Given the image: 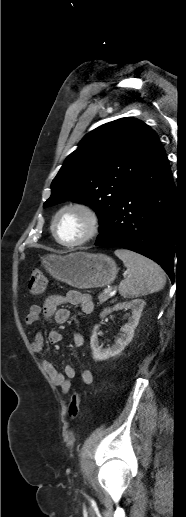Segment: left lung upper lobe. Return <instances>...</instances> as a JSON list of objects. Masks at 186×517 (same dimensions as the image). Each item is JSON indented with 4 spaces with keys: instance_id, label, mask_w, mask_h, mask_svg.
<instances>
[{
    "instance_id": "left-lung-upper-lobe-1",
    "label": "left lung upper lobe",
    "mask_w": 186,
    "mask_h": 517,
    "mask_svg": "<svg viewBox=\"0 0 186 517\" xmlns=\"http://www.w3.org/2000/svg\"><path fill=\"white\" fill-rule=\"evenodd\" d=\"M160 148L155 131L140 120L127 117L101 125L67 157L43 207L65 200L85 203L95 209L101 231Z\"/></svg>"
}]
</instances>
